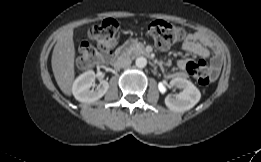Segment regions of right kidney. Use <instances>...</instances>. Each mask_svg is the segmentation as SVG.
<instances>
[{"label":"right kidney","instance_id":"obj_1","mask_svg":"<svg viewBox=\"0 0 261 162\" xmlns=\"http://www.w3.org/2000/svg\"><path fill=\"white\" fill-rule=\"evenodd\" d=\"M95 82V73L86 71L76 78L72 86V93L76 100L83 103H93L102 98L109 89V83L102 81L101 87L90 89Z\"/></svg>","mask_w":261,"mask_h":162}]
</instances>
